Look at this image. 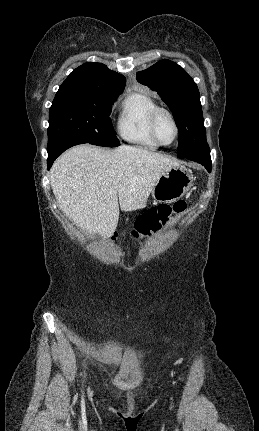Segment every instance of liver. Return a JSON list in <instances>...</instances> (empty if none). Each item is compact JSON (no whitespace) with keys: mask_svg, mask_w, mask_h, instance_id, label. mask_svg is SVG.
Wrapping results in <instances>:
<instances>
[{"mask_svg":"<svg viewBox=\"0 0 259 431\" xmlns=\"http://www.w3.org/2000/svg\"><path fill=\"white\" fill-rule=\"evenodd\" d=\"M178 165L172 157L140 146L107 150L79 145L54 162L50 184L69 219L88 234L106 238L117 227L119 204L123 211L144 208L158 179Z\"/></svg>","mask_w":259,"mask_h":431,"instance_id":"obj_1","label":"liver"}]
</instances>
